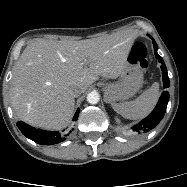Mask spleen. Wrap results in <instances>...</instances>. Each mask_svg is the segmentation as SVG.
Here are the masks:
<instances>
[{
  "label": "spleen",
  "mask_w": 187,
  "mask_h": 187,
  "mask_svg": "<svg viewBox=\"0 0 187 187\" xmlns=\"http://www.w3.org/2000/svg\"><path fill=\"white\" fill-rule=\"evenodd\" d=\"M159 98V84L153 83L143 94L133 101L114 103L113 109L127 119L137 120L148 115Z\"/></svg>",
  "instance_id": "3e777b00"
}]
</instances>
